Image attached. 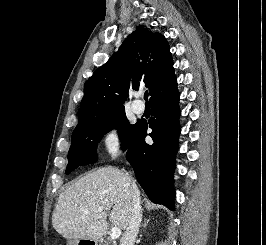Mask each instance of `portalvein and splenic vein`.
I'll return each instance as SVG.
<instances>
[{
  "label": "portal vein and splenic vein",
  "instance_id": "obj_1",
  "mask_svg": "<svg viewBox=\"0 0 266 245\" xmlns=\"http://www.w3.org/2000/svg\"><path fill=\"white\" fill-rule=\"evenodd\" d=\"M98 211H103V207H99ZM83 213H88L87 209H84ZM121 235V229H119V227H113V229H111V233H110V239H118V237H120Z\"/></svg>",
  "mask_w": 266,
  "mask_h": 245
}]
</instances>
